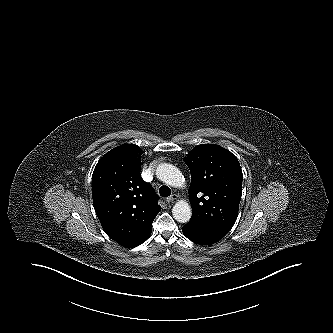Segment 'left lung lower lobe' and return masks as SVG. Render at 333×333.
Here are the masks:
<instances>
[{
    "label": "left lung lower lobe",
    "mask_w": 333,
    "mask_h": 333,
    "mask_svg": "<svg viewBox=\"0 0 333 333\" xmlns=\"http://www.w3.org/2000/svg\"><path fill=\"white\" fill-rule=\"evenodd\" d=\"M182 231L188 239L201 245L213 244L225 236L220 232L204 227L192 221H189V223L183 226Z\"/></svg>",
    "instance_id": "0a47b994"
}]
</instances>
